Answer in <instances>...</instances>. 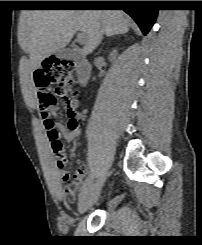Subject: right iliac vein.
Returning <instances> with one entry per match:
<instances>
[{
	"label": "right iliac vein",
	"mask_w": 202,
	"mask_h": 245,
	"mask_svg": "<svg viewBox=\"0 0 202 245\" xmlns=\"http://www.w3.org/2000/svg\"><path fill=\"white\" fill-rule=\"evenodd\" d=\"M100 195V182L91 185L85 190L79 198L78 211L79 213H85L92 205L97 201Z\"/></svg>",
	"instance_id": "1"
}]
</instances>
